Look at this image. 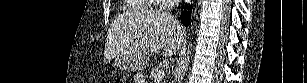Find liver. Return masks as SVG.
Masks as SVG:
<instances>
[{"label": "liver", "instance_id": "1", "mask_svg": "<svg viewBox=\"0 0 307 83\" xmlns=\"http://www.w3.org/2000/svg\"><path fill=\"white\" fill-rule=\"evenodd\" d=\"M185 33L171 14L141 10L119 16L111 24L106 38L104 61L119 55L145 58L159 54L171 57L184 42Z\"/></svg>", "mask_w": 307, "mask_h": 83}]
</instances>
